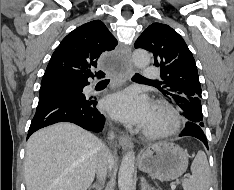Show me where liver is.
Listing matches in <instances>:
<instances>
[{"mask_svg":"<svg viewBox=\"0 0 234 190\" xmlns=\"http://www.w3.org/2000/svg\"><path fill=\"white\" fill-rule=\"evenodd\" d=\"M104 148L95 135L71 123L35 132L26 145V190H87Z\"/></svg>","mask_w":234,"mask_h":190,"instance_id":"1","label":"liver"}]
</instances>
